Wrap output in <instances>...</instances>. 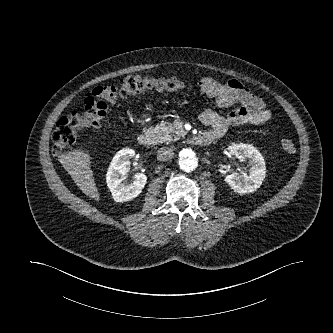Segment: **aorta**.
Returning a JSON list of instances; mask_svg holds the SVG:
<instances>
[{"label": "aorta", "mask_w": 333, "mask_h": 333, "mask_svg": "<svg viewBox=\"0 0 333 333\" xmlns=\"http://www.w3.org/2000/svg\"><path fill=\"white\" fill-rule=\"evenodd\" d=\"M179 167L185 172H191L198 166V159L192 149L184 148L179 152Z\"/></svg>", "instance_id": "1"}]
</instances>
